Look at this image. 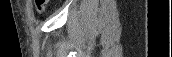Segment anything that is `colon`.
Instances as JSON below:
<instances>
[{
    "label": "colon",
    "mask_w": 172,
    "mask_h": 57,
    "mask_svg": "<svg viewBox=\"0 0 172 57\" xmlns=\"http://www.w3.org/2000/svg\"><path fill=\"white\" fill-rule=\"evenodd\" d=\"M47 2H48L47 0H36L35 1L38 12L42 13L44 11L45 5Z\"/></svg>",
    "instance_id": "1"
}]
</instances>
